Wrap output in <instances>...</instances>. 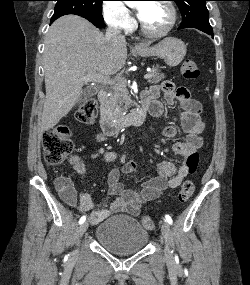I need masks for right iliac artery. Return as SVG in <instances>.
I'll return each mask as SVG.
<instances>
[{"label":"right iliac artery","mask_w":250,"mask_h":285,"mask_svg":"<svg viewBox=\"0 0 250 285\" xmlns=\"http://www.w3.org/2000/svg\"><path fill=\"white\" fill-rule=\"evenodd\" d=\"M85 220H86V216H82V217L80 218V220H79V224L84 223Z\"/></svg>","instance_id":"right-iliac-artery-1"}]
</instances>
